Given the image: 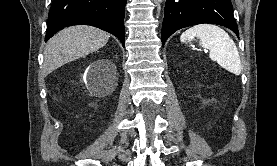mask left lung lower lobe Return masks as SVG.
<instances>
[{
	"label": "left lung lower lobe",
	"mask_w": 277,
	"mask_h": 166,
	"mask_svg": "<svg viewBox=\"0 0 277 166\" xmlns=\"http://www.w3.org/2000/svg\"><path fill=\"white\" fill-rule=\"evenodd\" d=\"M202 23L225 26L239 36L230 0H167L162 45L175 31Z\"/></svg>",
	"instance_id": "1"
}]
</instances>
